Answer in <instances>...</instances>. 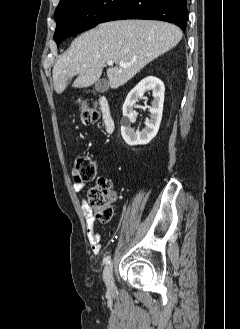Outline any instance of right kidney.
<instances>
[{
	"instance_id": "obj_1",
	"label": "right kidney",
	"mask_w": 240,
	"mask_h": 329,
	"mask_svg": "<svg viewBox=\"0 0 240 329\" xmlns=\"http://www.w3.org/2000/svg\"><path fill=\"white\" fill-rule=\"evenodd\" d=\"M149 91H152L154 97L151 107H149L150 119L146 118L145 128L142 131H134L131 127V123L136 118L133 107L139 98ZM164 91L163 82L156 77L149 76L141 80L127 95L123 105L121 135L128 145H146L156 136L162 119Z\"/></svg>"
}]
</instances>
